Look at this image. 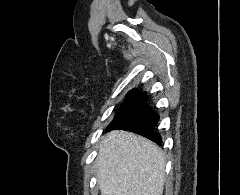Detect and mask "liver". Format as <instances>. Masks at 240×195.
I'll return each mask as SVG.
<instances>
[{"label":"liver","mask_w":240,"mask_h":195,"mask_svg":"<svg viewBox=\"0 0 240 195\" xmlns=\"http://www.w3.org/2000/svg\"><path fill=\"white\" fill-rule=\"evenodd\" d=\"M101 195H162L165 157L156 143L132 131L105 135L96 157Z\"/></svg>","instance_id":"6515ba94"}]
</instances>
